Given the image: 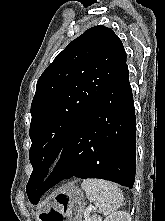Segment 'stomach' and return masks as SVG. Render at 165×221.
<instances>
[{
    "mask_svg": "<svg viewBox=\"0 0 165 221\" xmlns=\"http://www.w3.org/2000/svg\"><path fill=\"white\" fill-rule=\"evenodd\" d=\"M85 208L84 195L73 183L63 186L51 200L49 208H41L38 217H68L41 218L39 221H80Z\"/></svg>",
    "mask_w": 165,
    "mask_h": 221,
    "instance_id": "0dacf381",
    "label": "stomach"
}]
</instances>
